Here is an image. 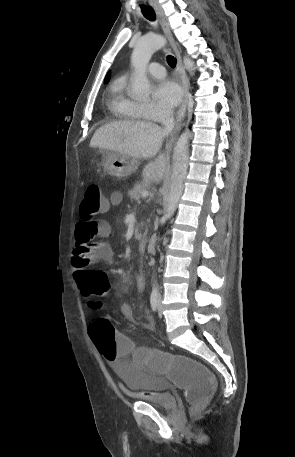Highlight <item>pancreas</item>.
Returning <instances> with one entry per match:
<instances>
[{"instance_id":"cf45deb5","label":"pancreas","mask_w":295,"mask_h":457,"mask_svg":"<svg viewBox=\"0 0 295 457\" xmlns=\"http://www.w3.org/2000/svg\"><path fill=\"white\" fill-rule=\"evenodd\" d=\"M146 190V186L143 183H136L132 189L128 191V195L133 200H138L141 197L143 191Z\"/></svg>"}]
</instances>
